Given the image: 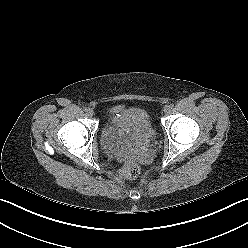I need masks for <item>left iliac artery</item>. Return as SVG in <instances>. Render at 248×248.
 Here are the masks:
<instances>
[{"label": "left iliac artery", "mask_w": 248, "mask_h": 248, "mask_svg": "<svg viewBox=\"0 0 248 248\" xmlns=\"http://www.w3.org/2000/svg\"><path fill=\"white\" fill-rule=\"evenodd\" d=\"M170 107L173 108L174 107V104H170Z\"/></svg>", "instance_id": "44dca946"}]
</instances>
